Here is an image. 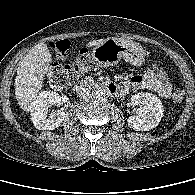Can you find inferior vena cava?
Segmentation results:
<instances>
[{"mask_svg":"<svg viewBox=\"0 0 195 195\" xmlns=\"http://www.w3.org/2000/svg\"><path fill=\"white\" fill-rule=\"evenodd\" d=\"M79 99L80 100H89L93 97V92L89 89H84L82 91L79 92Z\"/></svg>","mask_w":195,"mask_h":195,"instance_id":"inferior-vena-cava-1","label":"inferior vena cava"}]
</instances>
